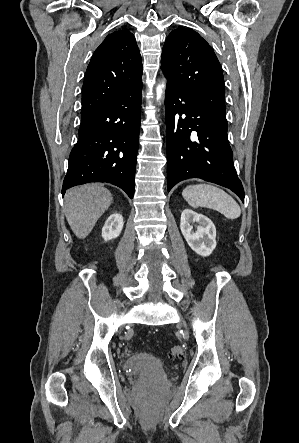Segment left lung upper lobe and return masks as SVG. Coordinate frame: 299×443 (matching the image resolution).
Masks as SVG:
<instances>
[{
    "label": "left lung upper lobe",
    "instance_id": "left-lung-upper-lobe-1",
    "mask_svg": "<svg viewBox=\"0 0 299 443\" xmlns=\"http://www.w3.org/2000/svg\"><path fill=\"white\" fill-rule=\"evenodd\" d=\"M161 69L168 81L226 115L221 65L198 33L184 27L173 30L163 47Z\"/></svg>",
    "mask_w": 299,
    "mask_h": 443
}]
</instances>
